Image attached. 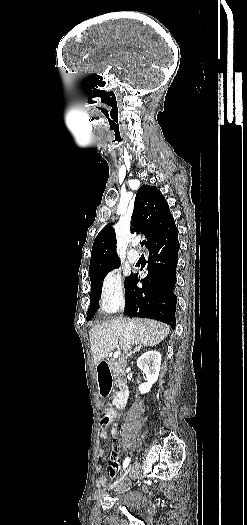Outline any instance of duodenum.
I'll use <instances>...</instances> for the list:
<instances>
[{
	"mask_svg": "<svg viewBox=\"0 0 247 525\" xmlns=\"http://www.w3.org/2000/svg\"><path fill=\"white\" fill-rule=\"evenodd\" d=\"M96 376L99 391L102 396H108L112 387L111 365L108 361H101L96 368ZM128 400V388L123 386L122 390L114 397L113 406L122 409Z\"/></svg>",
	"mask_w": 247,
	"mask_h": 525,
	"instance_id": "duodenum-1",
	"label": "duodenum"
}]
</instances>
